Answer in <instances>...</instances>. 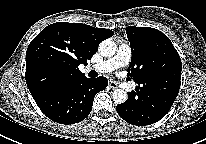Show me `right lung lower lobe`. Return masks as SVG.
Returning <instances> with one entry per match:
<instances>
[{
    "label": "right lung lower lobe",
    "instance_id": "1",
    "mask_svg": "<svg viewBox=\"0 0 206 144\" xmlns=\"http://www.w3.org/2000/svg\"><path fill=\"white\" fill-rule=\"evenodd\" d=\"M107 85L108 80L103 76L85 78L75 84L48 89L34 100L49 119L61 124H74L90 114L96 93Z\"/></svg>",
    "mask_w": 206,
    "mask_h": 144
}]
</instances>
